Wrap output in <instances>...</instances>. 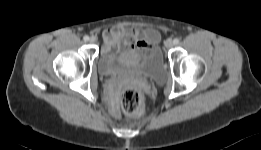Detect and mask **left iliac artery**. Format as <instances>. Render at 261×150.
<instances>
[{
	"instance_id": "left-iliac-artery-1",
	"label": "left iliac artery",
	"mask_w": 261,
	"mask_h": 150,
	"mask_svg": "<svg viewBox=\"0 0 261 150\" xmlns=\"http://www.w3.org/2000/svg\"><path fill=\"white\" fill-rule=\"evenodd\" d=\"M173 42H174V44H178V43H179V39H178V38H175V39L173 40Z\"/></svg>"
}]
</instances>
